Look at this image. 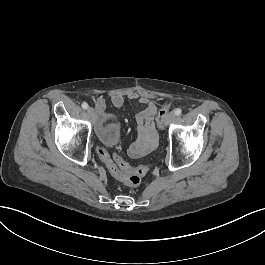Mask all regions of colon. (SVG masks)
I'll return each mask as SVG.
<instances>
[{"instance_id": "obj_1", "label": "colon", "mask_w": 265, "mask_h": 265, "mask_svg": "<svg viewBox=\"0 0 265 265\" xmlns=\"http://www.w3.org/2000/svg\"><path fill=\"white\" fill-rule=\"evenodd\" d=\"M173 101H168L166 105L162 106L161 111H158V130L160 132H165V127L162 125L163 115L173 107ZM97 153L104 164V166L119 180L124 182L129 187H136L140 184L142 178L148 173L150 167L149 165H141L139 167H132L125 162L119 156L111 158L106 148L100 146L97 148Z\"/></svg>"}]
</instances>
